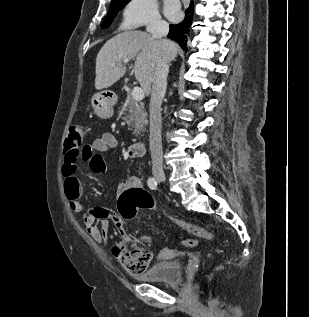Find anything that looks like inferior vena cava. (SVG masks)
<instances>
[{
  "instance_id": "602c4592",
  "label": "inferior vena cava",
  "mask_w": 309,
  "mask_h": 317,
  "mask_svg": "<svg viewBox=\"0 0 309 317\" xmlns=\"http://www.w3.org/2000/svg\"><path fill=\"white\" fill-rule=\"evenodd\" d=\"M152 37L160 40L163 52L159 58L152 81L151 100H150V151L152 159V169L154 172L163 171V155L161 140V104L166 93L167 75L169 71V56L174 48L173 44L162 39L169 32V24L163 20L153 21L147 28Z\"/></svg>"
}]
</instances>
